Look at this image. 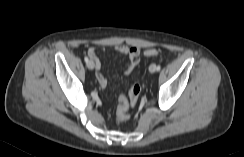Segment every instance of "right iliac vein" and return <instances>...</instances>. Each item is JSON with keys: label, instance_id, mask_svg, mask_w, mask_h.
Listing matches in <instances>:
<instances>
[{"label": "right iliac vein", "instance_id": "63e3f726", "mask_svg": "<svg viewBox=\"0 0 244 157\" xmlns=\"http://www.w3.org/2000/svg\"><path fill=\"white\" fill-rule=\"evenodd\" d=\"M87 67H88V69L93 70V69H94V64H93V62H92V61H89V62L87 63Z\"/></svg>", "mask_w": 244, "mask_h": 157}]
</instances>
